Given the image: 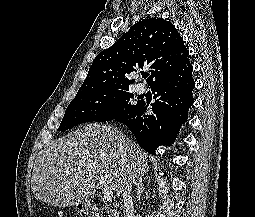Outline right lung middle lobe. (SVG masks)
I'll list each match as a JSON object with an SVG mask.
<instances>
[{
    "label": "right lung middle lobe",
    "mask_w": 255,
    "mask_h": 217,
    "mask_svg": "<svg viewBox=\"0 0 255 217\" xmlns=\"http://www.w3.org/2000/svg\"><path fill=\"white\" fill-rule=\"evenodd\" d=\"M138 104V102H137ZM129 88L78 93L68 105L58 131L86 122H106L120 118L137 106Z\"/></svg>",
    "instance_id": "dd1d6c3e"
}]
</instances>
